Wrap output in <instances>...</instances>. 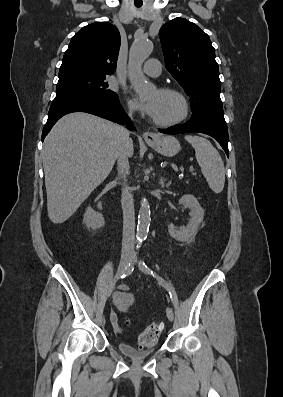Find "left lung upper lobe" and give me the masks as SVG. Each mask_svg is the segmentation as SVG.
Segmentation results:
<instances>
[{"mask_svg":"<svg viewBox=\"0 0 283 397\" xmlns=\"http://www.w3.org/2000/svg\"><path fill=\"white\" fill-rule=\"evenodd\" d=\"M159 36L166 69L190 96L192 112L223 114L219 68L209 36L184 18L164 24Z\"/></svg>","mask_w":283,"mask_h":397,"instance_id":"obj_1","label":"left lung upper lobe"}]
</instances>
